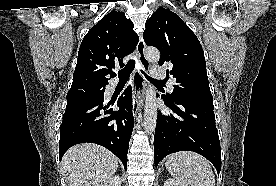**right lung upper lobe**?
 I'll return each mask as SVG.
<instances>
[{"label":"right lung upper lobe","instance_id":"right-lung-upper-lobe-1","mask_svg":"<svg viewBox=\"0 0 276 186\" xmlns=\"http://www.w3.org/2000/svg\"><path fill=\"white\" fill-rule=\"evenodd\" d=\"M137 43L132 21L123 12L111 11L82 40L70 89L106 86L115 76V66H124L123 58L134 51Z\"/></svg>","mask_w":276,"mask_h":186}]
</instances>
